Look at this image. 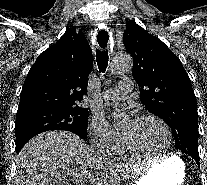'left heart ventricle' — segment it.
<instances>
[{
	"instance_id": "obj_1",
	"label": "left heart ventricle",
	"mask_w": 207,
	"mask_h": 185,
	"mask_svg": "<svg viewBox=\"0 0 207 185\" xmlns=\"http://www.w3.org/2000/svg\"><path fill=\"white\" fill-rule=\"evenodd\" d=\"M124 133L131 145L143 152L160 153L167 146V138L162 126L154 120H135L127 122Z\"/></svg>"
}]
</instances>
